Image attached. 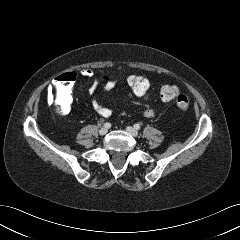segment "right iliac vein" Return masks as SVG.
Masks as SVG:
<instances>
[{"mask_svg":"<svg viewBox=\"0 0 240 240\" xmlns=\"http://www.w3.org/2000/svg\"><path fill=\"white\" fill-rule=\"evenodd\" d=\"M107 132H108V129L105 128V127L101 128V129L99 130V134H100L101 136H104Z\"/></svg>","mask_w":240,"mask_h":240,"instance_id":"63e3f726","label":"right iliac vein"}]
</instances>
